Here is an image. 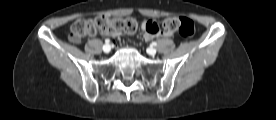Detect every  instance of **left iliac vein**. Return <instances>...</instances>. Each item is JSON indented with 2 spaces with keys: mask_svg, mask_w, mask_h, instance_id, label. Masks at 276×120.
Segmentation results:
<instances>
[{
  "mask_svg": "<svg viewBox=\"0 0 276 120\" xmlns=\"http://www.w3.org/2000/svg\"><path fill=\"white\" fill-rule=\"evenodd\" d=\"M147 53L151 56H154V55H156L157 51H156L155 48L150 47V48L147 49Z\"/></svg>",
  "mask_w": 276,
  "mask_h": 120,
  "instance_id": "1",
  "label": "left iliac vein"
}]
</instances>
